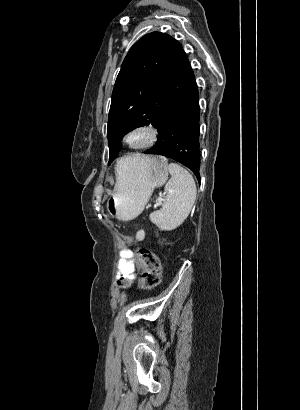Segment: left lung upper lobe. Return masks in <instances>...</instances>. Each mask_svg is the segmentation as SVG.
Wrapping results in <instances>:
<instances>
[{
  "mask_svg": "<svg viewBox=\"0 0 300 410\" xmlns=\"http://www.w3.org/2000/svg\"><path fill=\"white\" fill-rule=\"evenodd\" d=\"M192 72L182 45L166 33H149L130 48L112 93L108 164L117 157L126 133L150 123L158 128Z\"/></svg>",
  "mask_w": 300,
  "mask_h": 410,
  "instance_id": "left-lung-upper-lobe-1",
  "label": "left lung upper lobe"
}]
</instances>
